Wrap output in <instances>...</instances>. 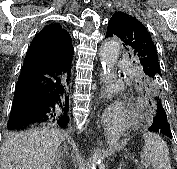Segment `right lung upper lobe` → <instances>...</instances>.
I'll use <instances>...</instances> for the list:
<instances>
[{
  "mask_svg": "<svg viewBox=\"0 0 177 169\" xmlns=\"http://www.w3.org/2000/svg\"><path fill=\"white\" fill-rule=\"evenodd\" d=\"M74 48L69 33L59 24L45 26L35 35L26 58H33L49 63H71Z\"/></svg>",
  "mask_w": 177,
  "mask_h": 169,
  "instance_id": "1",
  "label": "right lung upper lobe"
}]
</instances>
